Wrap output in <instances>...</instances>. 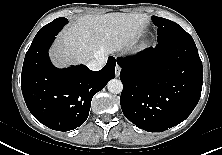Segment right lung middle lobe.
<instances>
[{
  "mask_svg": "<svg viewBox=\"0 0 222 155\" xmlns=\"http://www.w3.org/2000/svg\"><path fill=\"white\" fill-rule=\"evenodd\" d=\"M67 23H68V19H66L64 17H60V18H57L54 21L50 22L49 24L45 25L36 34L30 47H33V46L39 44L42 40H44L45 38H47L51 35H57L58 32Z\"/></svg>",
  "mask_w": 222,
  "mask_h": 155,
  "instance_id": "right-lung-middle-lobe-1",
  "label": "right lung middle lobe"
}]
</instances>
